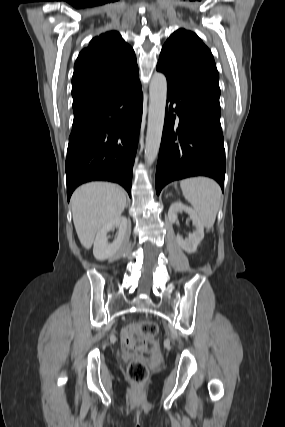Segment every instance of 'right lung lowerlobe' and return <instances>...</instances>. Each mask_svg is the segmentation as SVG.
I'll return each instance as SVG.
<instances>
[{
	"label": "right lung lower lobe",
	"mask_w": 285,
	"mask_h": 427,
	"mask_svg": "<svg viewBox=\"0 0 285 427\" xmlns=\"http://www.w3.org/2000/svg\"><path fill=\"white\" fill-rule=\"evenodd\" d=\"M142 107L139 75L73 106L65 164L68 201L77 186L94 180L119 183L131 196Z\"/></svg>",
	"instance_id": "98d812e1"
}]
</instances>
